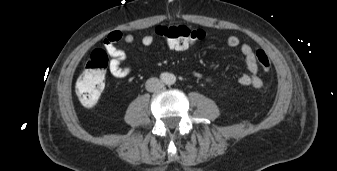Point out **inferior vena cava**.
<instances>
[{"label": "inferior vena cava", "mask_w": 337, "mask_h": 171, "mask_svg": "<svg viewBox=\"0 0 337 171\" xmlns=\"http://www.w3.org/2000/svg\"><path fill=\"white\" fill-rule=\"evenodd\" d=\"M163 87V83L158 78H150L146 81V89L149 92H155Z\"/></svg>", "instance_id": "inferior-vena-cava-1"}]
</instances>
